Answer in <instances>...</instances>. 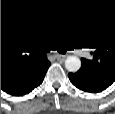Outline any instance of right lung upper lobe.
<instances>
[{"mask_svg": "<svg viewBox=\"0 0 115 114\" xmlns=\"http://www.w3.org/2000/svg\"><path fill=\"white\" fill-rule=\"evenodd\" d=\"M31 52L23 36L1 31V88L25 81L50 62L45 55Z\"/></svg>", "mask_w": 115, "mask_h": 114, "instance_id": "cb5924a9", "label": "right lung upper lobe"}]
</instances>
